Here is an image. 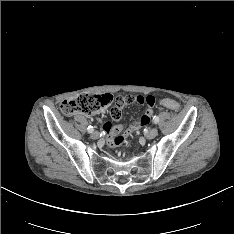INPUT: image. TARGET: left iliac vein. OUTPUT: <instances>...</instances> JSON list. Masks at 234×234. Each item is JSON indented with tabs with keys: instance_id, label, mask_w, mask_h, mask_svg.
Masks as SVG:
<instances>
[{
	"instance_id": "1",
	"label": "left iliac vein",
	"mask_w": 234,
	"mask_h": 234,
	"mask_svg": "<svg viewBox=\"0 0 234 234\" xmlns=\"http://www.w3.org/2000/svg\"><path fill=\"white\" fill-rule=\"evenodd\" d=\"M158 135V129L156 127H153L152 129H150L148 131V133L146 134V138L147 139H153Z\"/></svg>"
}]
</instances>
